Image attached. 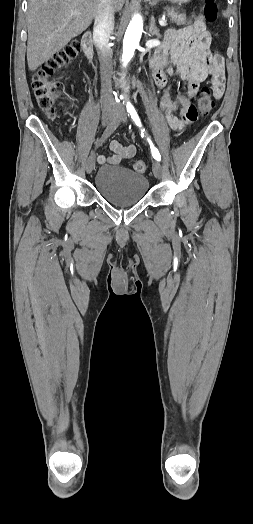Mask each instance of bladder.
<instances>
[{"instance_id":"obj_1","label":"bladder","mask_w":253,"mask_h":524,"mask_svg":"<svg viewBox=\"0 0 253 524\" xmlns=\"http://www.w3.org/2000/svg\"><path fill=\"white\" fill-rule=\"evenodd\" d=\"M95 188L108 203L131 206L146 196L149 181L145 175L126 167L104 165L96 173Z\"/></svg>"}]
</instances>
